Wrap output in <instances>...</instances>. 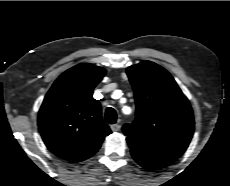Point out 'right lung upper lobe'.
I'll use <instances>...</instances> for the list:
<instances>
[{
    "instance_id": "cb5924a9",
    "label": "right lung upper lobe",
    "mask_w": 230,
    "mask_h": 186,
    "mask_svg": "<svg viewBox=\"0 0 230 186\" xmlns=\"http://www.w3.org/2000/svg\"><path fill=\"white\" fill-rule=\"evenodd\" d=\"M106 70L89 63L76 65L54 82L38 114L45 145L58 157L83 161L97 152L111 133L101 117L93 89Z\"/></svg>"
}]
</instances>
